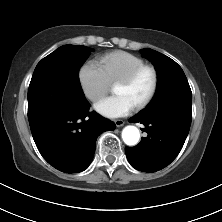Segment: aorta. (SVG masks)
Wrapping results in <instances>:
<instances>
[{
    "instance_id": "762f6f07",
    "label": "aorta",
    "mask_w": 222,
    "mask_h": 222,
    "mask_svg": "<svg viewBox=\"0 0 222 222\" xmlns=\"http://www.w3.org/2000/svg\"><path fill=\"white\" fill-rule=\"evenodd\" d=\"M122 139L128 146H135L140 139V132L135 126H126L122 131Z\"/></svg>"
}]
</instances>
